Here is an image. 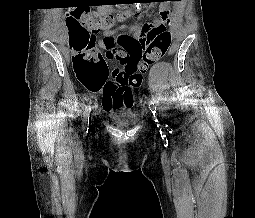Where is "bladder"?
<instances>
[{
	"mask_svg": "<svg viewBox=\"0 0 255 218\" xmlns=\"http://www.w3.org/2000/svg\"><path fill=\"white\" fill-rule=\"evenodd\" d=\"M117 119L122 120V125L125 127L130 126L134 123V117L128 113L118 116Z\"/></svg>",
	"mask_w": 255,
	"mask_h": 218,
	"instance_id": "bladder-1",
	"label": "bladder"
}]
</instances>
